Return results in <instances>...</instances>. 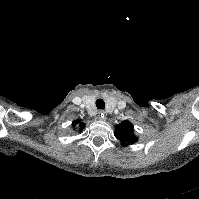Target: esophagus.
Masks as SVG:
<instances>
[{"label": "esophagus", "mask_w": 199, "mask_h": 199, "mask_svg": "<svg viewBox=\"0 0 199 199\" xmlns=\"http://www.w3.org/2000/svg\"><path fill=\"white\" fill-rule=\"evenodd\" d=\"M99 118L102 119V120H106V114H105V112L100 111L99 112Z\"/></svg>", "instance_id": "1"}]
</instances>
